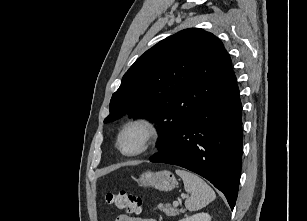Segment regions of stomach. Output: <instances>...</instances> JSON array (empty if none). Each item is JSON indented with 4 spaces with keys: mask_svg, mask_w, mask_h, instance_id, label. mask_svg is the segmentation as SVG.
I'll use <instances>...</instances> for the list:
<instances>
[{
    "mask_svg": "<svg viewBox=\"0 0 307 221\" xmlns=\"http://www.w3.org/2000/svg\"><path fill=\"white\" fill-rule=\"evenodd\" d=\"M137 182L141 186H152L161 191H170L178 185L174 175L167 170L146 171L140 175Z\"/></svg>",
    "mask_w": 307,
    "mask_h": 221,
    "instance_id": "0dacf381",
    "label": "stomach"
}]
</instances>
